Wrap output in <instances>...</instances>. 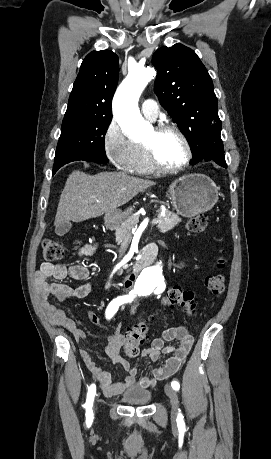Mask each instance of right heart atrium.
Instances as JSON below:
<instances>
[{"label":"right heart atrium","instance_id":"obj_1","mask_svg":"<svg viewBox=\"0 0 271 459\" xmlns=\"http://www.w3.org/2000/svg\"><path fill=\"white\" fill-rule=\"evenodd\" d=\"M102 147L105 156L116 168H126L132 154V143L115 120H111L103 132Z\"/></svg>","mask_w":271,"mask_h":459}]
</instances>
